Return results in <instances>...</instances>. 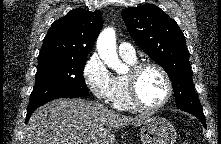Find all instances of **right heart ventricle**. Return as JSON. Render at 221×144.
Instances as JSON below:
<instances>
[{"mask_svg": "<svg viewBox=\"0 0 221 144\" xmlns=\"http://www.w3.org/2000/svg\"><path fill=\"white\" fill-rule=\"evenodd\" d=\"M123 60L129 65L133 66L136 64L135 60H128L123 58ZM116 83V94L114 99L112 100L113 105L115 108L119 110H132L135 107L130 102L128 91H127V83H126V76L118 75L115 77Z\"/></svg>", "mask_w": 221, "mask_h": 144, "instance_id": "e07e8e85", "label": "right heart ventricle"}]
</instances>
